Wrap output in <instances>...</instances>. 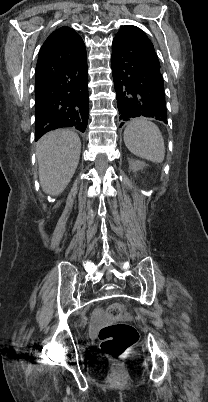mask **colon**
<instances>
[{
  "mask_svg": "<svg viewBox=\"0 0 208 402\" xmlns=\"http://www.w3.org/2000/svg\"><path fill=\"white\" fill-rule=\"evenodd\" d=\"M123 313L119 305L108 308L107 314L111 318H117ZM99 339L102 340V350L105 355L114 360H120L124 353L133 345L135 338H139L140 331L135 324L114 323L103 324L99 330Z\"/></svg>",
  "mask_w": 208,
  "mask_h": 402,
  "instance_id": "5ec220e1",
  "label": "colon"
}]
</instances>
